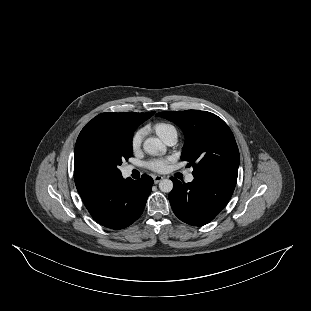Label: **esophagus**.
Returning <instances> with one entry per match:
<instances>
[{"label":"esophagus","instance_id":"obj_1","mask_svg":"<svg viewBox=\"0 0 311 311\" xmlns=\"http://www.w3.org/2000/svg\"><path fill=\"white\" fill-rule=\"evenodd\" d=\"M163 176H161V175H154L153 176V180H154V183L155 184H158L161 180H163Z\"/></svg>","mask_w":311,"mask_h":311}]
</instances>
